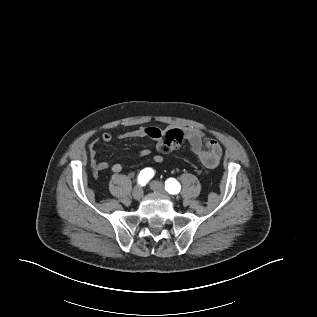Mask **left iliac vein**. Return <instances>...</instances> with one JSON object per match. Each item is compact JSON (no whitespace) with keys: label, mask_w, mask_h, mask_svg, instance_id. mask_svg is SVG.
Returning <instances> with one entry per match:
<instances>
[{"label":"left iliac vein","mask_w":317,"mask_h":317,"mask_svg":"<svg viewBox=\"0 0 317 317\" xmlns=\"http://www.w3.org/2000/svg\"><path fill=\"white\" fill-rule=\"evenodd\" d=\"M150 187L152 190H154L156 192L166 194L165 189H164V185L159 181H152L150 183Z\"/></svg>","instance_id":"1"}]
</instances>
